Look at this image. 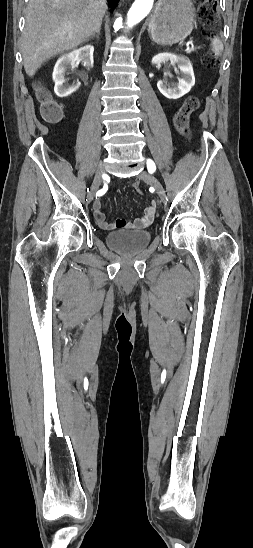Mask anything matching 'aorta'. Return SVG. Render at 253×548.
I'll return each mask as SVG.
<instances>
[{"label": "aorta", "mask_w": 253, "mask_h": 548, "mask_svg": "<svg viewBox=\"0 0 253 548\" xmlns=\"http://www.w3.org/2000/svg\"><path fill=\"white\" fill-rule=\"evenodd\" d=\"M154 0H135L127 14V25L133 27L142 21L151 11Z\"/></svg>", "instance_id": "obj_1"}]
</instances>
